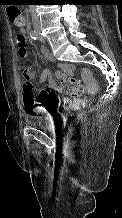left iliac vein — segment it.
<instances>
[{
    "instance_id": "obj_1",
    "label": "left iliac vein",
    "mask_w": 122,
    "mask_h": 218,
    "mask_svg": "<svg viewBox=\"0 0 122 218\" xmlns=\"http://www.w3.org/2000/svg\"><path fill=\"white\" fill-rule=\"evenodd\" d=\"M41 42H45V39L43 37H40Z\"/></svg>"
}]
</instances>
